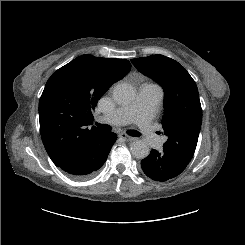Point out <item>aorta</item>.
<instances>
[{"mask_svg": "<svg viewBox=\"0 0 245 245\" xmlns=\"http://www.w3.org/2000/svg\"><path fill=\"white\" fill-rule=\"evenodd\" d=\"M114 100L120 105H126L133 101L135 89L126 83L117 84L113 90ZM132 155L137 159H144L149 155L148 144L143 140H135L130 145Z\"/></svg>", "mask_w": 245, "mask_h": 245, "instance_id": "obj_1", "label": "aorta"}]
</instances>
